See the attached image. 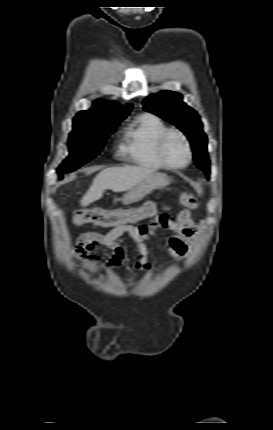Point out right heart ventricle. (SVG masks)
Instances as JSON below:
<instances>
[{
  "label": "right heart ventricle",
  "mask_w": 273,
  "mask_h": 430,
  "mask_svg": "<svg viewBox=\"0 0 273 430\" xmlns=\"http://www.w3.org/2000/svg\"><path fill=\"white\" fill-rule=\"evenodd\" d=\"M168 129L169 126L157 115L144 113L137 116L125 129L121 147L123 155L141 167L165 168L157 155V142Z\"/></svg>",
  "instance_id": "obj_1"
}]
</instances>
